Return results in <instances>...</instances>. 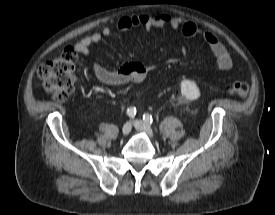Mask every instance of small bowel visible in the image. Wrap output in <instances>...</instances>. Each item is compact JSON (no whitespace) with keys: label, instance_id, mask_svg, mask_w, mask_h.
<instances>
[{"label":"small bowel","instance_id":"small-bowel-1","mask_svg":"<svg viewBox=\"0 0 275 215\" xmlns=\"http://www.w3.org/2000/svg\"><path fill=\"white\" fill-rule=\"evenodd\" d=\"M165 26L178 29L185 37L199 39L207 44L220 69L229 70L232 67L231 56L217 37L213 33L197 27L191 21H183L181 18L170 14H138L124 16L117 21V28L120 31H127L137 27L151 30ZM111 33V27L105 26L101 31L94 32L81 39L74 45V49L80 53L89 54L94 44L98 43L102 38L109 37ZM91 68L96 79L102 84L109 86L140 83L150 71L149 66L138 61L127 62L114 71L108 70L97 63H93Z\"/></svg>","mask_w":275,"mask_h":215}]
</instances>
